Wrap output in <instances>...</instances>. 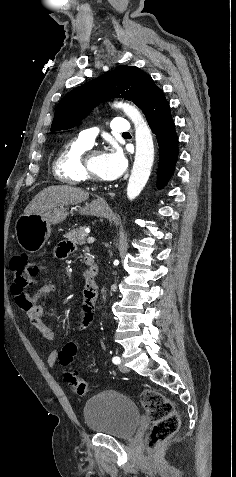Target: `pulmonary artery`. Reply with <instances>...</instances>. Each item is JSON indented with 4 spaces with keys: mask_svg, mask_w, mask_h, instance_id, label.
<instances>
[{
    "mask_svg": "<svg viewBox=\"0 0 236 477\" xmlns=\"http://www.w3.org/2000/svg\"><path fill=\"white\" fill-rule=\"evenodd\" d=\"M110 130L116 133H128L131 131V126L124 118H114L110 124ZM96 132L94 129H86L79 133L78 141L84 145L91 147L94 143Z\"/></svg>",
    "mask_w": 236,
    "mask_h": 477,
    "instance_id": "e3ab8cb5",
    "label": "pulmonary artery"
}]
</instances>
